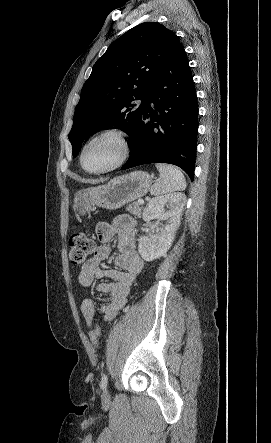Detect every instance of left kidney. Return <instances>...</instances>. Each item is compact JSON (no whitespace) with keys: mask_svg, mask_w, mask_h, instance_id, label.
I'll return each mask as SVG.
<instances>
[{"mask_svg":"<svg viewBox=\"0 0 271 443\" xmlns=\"http://www.w3.org/2000/svg\"><path fill=\"white\" fill-rule=\"evenodd\" d=\"M185 202V194H168V196H159V198H154L149 202L143 212L144 222L166 220V223L154 235H149V237L142 235L138 239V251L145 261H153L161 255H166V251L171 247L175 237L176 229L180 225Z\"/></svg>","mask_w":271,"mask_h":443,"instance_id":"5707ae66","label":"left kidney"}]
</instances>
